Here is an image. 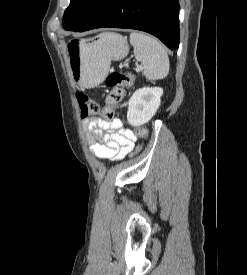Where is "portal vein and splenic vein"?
Segmentation results:
<instances>
[{
    "label": "portal vein and splenic vein",
    "instance_id": "18ae733b",
    "mask_svg": "<svg viewBox=\"0 0 247 275\" xmlns=\"http://www.w3.org/2000/svg\"><path fill=\"white\" fill-rule=\"evenodd\" d=\"M137 71H140L141 70V67H137V69H136Z\"/></svg>",
    "mask_w": 247,
    "mask_h": 275
}]
</instances>
